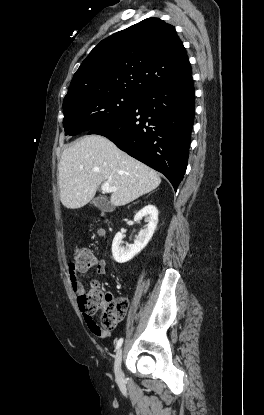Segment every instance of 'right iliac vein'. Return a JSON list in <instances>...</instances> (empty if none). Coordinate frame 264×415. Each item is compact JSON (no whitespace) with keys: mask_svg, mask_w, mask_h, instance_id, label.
<instances>
[{"mask_svg":"<svg viewBox=\"0 0 264 415\" xmlns=\"http://www.w3.org/2000/svg\"><path fill=\"white\" fill-rule=\"evenodd\" d=\"M121 365H122V348L117 352L116 359H115V375L118 381L122 379Z\"/></svg>","mask_w":264,"mask_h":415,"instance_id":"obj_1","label":"right iliac vein"}]
</instances>
